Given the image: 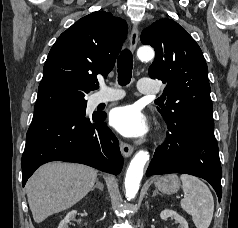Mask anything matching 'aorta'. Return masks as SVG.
<instances>
[{"label":"aorta","instance_id":"762f6f07","mask_svg":"<svg viewBox=\"0 0 238 228\" xmlns=\"http://www.w3.org/2000/svg\"><path fill=\"white\" fill-rule=\"evenodd\" d=\"M137 56L141 61H149L154 58V50L149 46L140 47ZM149 161V153L138 151L131 160L125 177V191L128 200L134 199L143 177L145 164Z\"/></svg>","mask_w":238,"mask_h":228}]
</instances>
